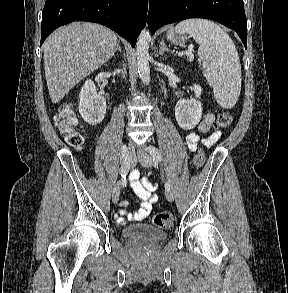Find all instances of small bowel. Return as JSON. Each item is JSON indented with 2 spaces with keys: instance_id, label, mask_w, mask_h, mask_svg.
Segmentation results:
<instances>
[{
  "instance_id": "1",
  "label": "small bowel",
  "mask_w": 288,
  "mask_h": 293,
  "mask_svg": "<svg viewBox=\"0 0 288 293\" xmlns=\"http://www.w3.org/2000/svg\"><path fill=\"white\" fill-rule=\"evenodd\" d=\"M214 121V114L208 113L205 115L204 119L201 121L197 128V132L206 133L211 129L212 123ZM221 137V132L216 131L210 134L206 139L201 140L198 133L191 132L186 135L185 142L188 149L191 152H194L197 149L199 142H202L204 145L210 147L214 145ZM131 187L137 197L140 200V208L134 212H128L125 207L128 205L127 201L121 203L120 214L126 216L128 220H142L152 210V205L158 200V195L156 194V185L151 183L145 176L140 177L138 170H134L130 176ZM118 222L124 224L126 219L124 217H119Z\"/></svg>"
}]
</instances>
